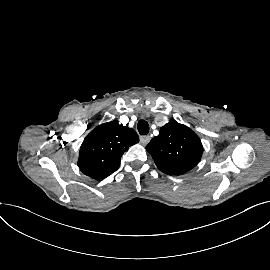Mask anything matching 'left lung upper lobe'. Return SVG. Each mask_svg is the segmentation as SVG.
<instances>
[{"label":"left lung upper lobe","mask_w":270,"mask_h":270,"mask_svg":"<svg viewBox=\"0 0 270 270\" xmlns=\"http://www.w3.org/2000/svg\"><path fill=\"white\" fill-rule=\"evenodd\" d=\"M159 170L180 175L200 161L203 146L199 137L187 126L170 120L161 127L159 135L146 146Z\"/></svg>","instance_id":"left-lung-upper-lobe-1"}]
</instances>
